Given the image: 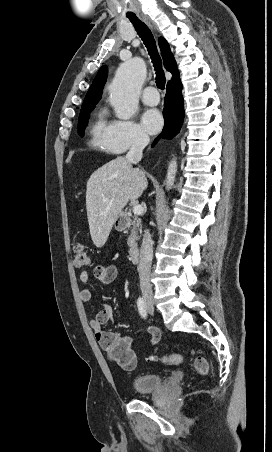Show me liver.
<instances>
[{
    "mask_svg": "<svg viewBox=\"0 0 272 452\" xmlns=\"http://www.w3.org/2000/svg\"><path fill=\"white\" fill-rule=\"evenodd\" d=\"M145 173L133 168L125 157L98 168L89 178L86 209L90 235L96 247H102L117 217L129 200L136 201L147 188Z\"/></svg>",
    "mask_w": 272,
    "mask_h": 452,
    "instance_id": "obj_1",
    "label": "liver"
}]
</instances>
